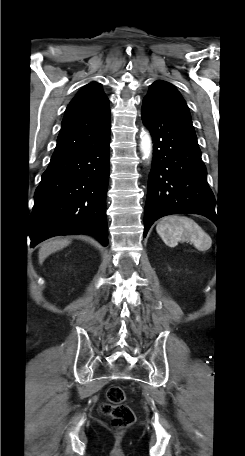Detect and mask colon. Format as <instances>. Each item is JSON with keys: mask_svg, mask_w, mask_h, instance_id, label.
Here are the masks:
<instances>
[{"mask_svg": "<svg viewBox=\"0 0 245 456\" xmlns=\"http://www.w3.org/2000/svg\"><path fill=\"white\" fill-rule=\"evenodd\" d=\"M101 412L109 416L113 425L118 428L129 427L135 422L133 410L125 404V392L118 386L107 390L106 402L101 405Z\"/></svg>", "mask_w": 245, "mask_h": 456, "instance_id": "colon-1", "label": "colon"}]
</instances>
